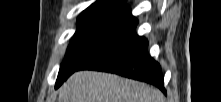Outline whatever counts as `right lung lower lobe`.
<instances>
[{
    "label": "right lung lower lobe",
    "mask_w": 221,
    "mask_h": 102,
    "mask_svg": "<svg viewBox=\"0 0 221 102\" xmlns=\"http://www.w3.org/2000/svg\"><path fill=\"white\" fill-rule=\"evenodd\" d=\"M136 26L137 22L75 71L89 69L116 73L150 83L166 94L161 67L148 53V40L135 33ZM68 77L57 81L55 88Z\"/></svg>",
    "instance_id": "obj_1"
}]
</instances>
